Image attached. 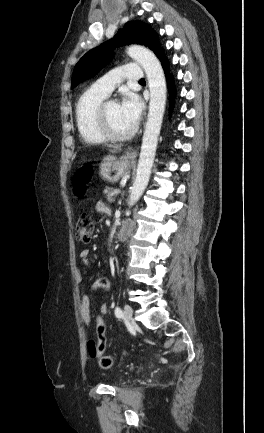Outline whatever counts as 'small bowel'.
Instances as JSON below:
<instances>
[{"label": "small bowel", "mask_w": 264, "mask_h": 433, "mask_svg": "<svg viewBox=\"0 0 264 433\" xmlns=\"http://www.w3.org/2000/svg\"><path fill=\"white\" fill-rule=\"evenodd\" d=\"M96 210L98 212H101V213H110L109 207L103 201L97 202ZM79 259L83 264L89 265V252L87 250H82L79 253ZM77 280L79 283L82 282V275L80 272L77 273ZM91 288L93 290L103 289L107 293H110L112 290V285L108 279L98 278L91 284ZM101 308L103 310V314H106V310H107L106 304H104ZM80 314H81L82 320L87 325H90L91 321H92V314H91V307H90V297L87 294H84L81 297ZM87 352L91 358H97V355H98V343H97V341L89 340L87 342Z\"/></svg>", "instance_id": "1"}]
</instances>
